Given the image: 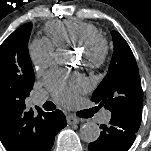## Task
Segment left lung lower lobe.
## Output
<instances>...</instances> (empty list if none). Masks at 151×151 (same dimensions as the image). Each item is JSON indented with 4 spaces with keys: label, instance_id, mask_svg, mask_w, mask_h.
Instances as JSON below:
<instances>
[{
    "label": "left lung lower lobe",
    "instance_id": "left-lung-lower-lobe-1",
    "mask_svg": "<svg viewBox=\"0 0 151 151\" xmlns=\"http://www.w3.org/2000/svg\"><path fill=\"white\" fill-rule=\"evenodd\" d=\"M101 128L100 137L89 144L90 151H127L136 138L137 131L116 119Z\"/></svg>",
    "mask_w": 151,
    "mask_h": 151
}]
</instances>
